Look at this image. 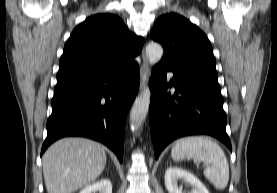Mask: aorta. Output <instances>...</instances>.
I'll list each match as a JSON object with an SVG mask.
<instances>
[{
	"mask_svg": "<svg viewBox=\"0 0 277 193\" xmlns=\"http://www.w3.org/2000/svg\"><path fill=\"white\" fill-rule=\"evenodd\" d=\"M146 55L150 64H157L163 56V48L160 44L151 42L146 46ZM151 93L145 89L134 101L130 113V126L133 131L138 130L146 119Z\"/></svg>",
	"mask_w": 277,
	"mask_h": 193,
	"instance_id": "762f6f07",
	"label": "aorta"
}]
</instances>
